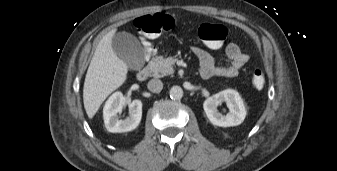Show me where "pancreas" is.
<instances>
[{
	"label": "pancreas",
	"mask_w": 337,
	"mask_h": 171,
	"mask_svg": "<svg viewBox=\"0 0 337 171\" xmlns=\"http://www.w3.org/2000/svg\"><path fill=\"white\" fill-rule=\"evenodd\" d=\"M176 59L173 57L163 58L162 56H158L152 58L149 62V68L153 72L154 77H164L166 75L173 74V65L175 64Z\"/></svg>",
	"instance_id": "1"
}]
</instances>
